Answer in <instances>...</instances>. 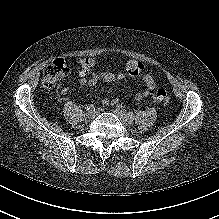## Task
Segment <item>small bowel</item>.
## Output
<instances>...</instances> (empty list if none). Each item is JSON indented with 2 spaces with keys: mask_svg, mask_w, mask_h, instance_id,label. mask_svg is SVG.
I'll return each mask as SVG.
<instances>
[{
  "mask_svg": "<svg viewBox=\"0 0 219 219\" xmlns=\"http://www.w3.org/2000/svg\"><path fill=\"white\" fill-rule=\"evenodd\" d=\"M88 64V65H87ZM94 62L90 59L81 61V70L77 82L81 85L94 86L100 81L104 82H119L121 80L130 78L135 80H140L144 83L145 89L137 93L135 98L137 100H142L143 98L148 97L155 88L154 78L147 73H142L143 65L140 62L130 60L126 66V72H103L97 73L93 70ZM69 91L68 87H64L61 91V95H66ZM104 105L108 106L112 104L108 99H104Z\"/></svg>",
  "mask_w": 219,
  "mask_h": 219,
  "instance_id": "c3829d8e",
  "label": "small bowel"
}]
</instances>
